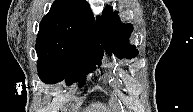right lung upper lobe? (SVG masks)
<instances>
[{"mask_svg":"<svg viewBox=\"0 0 193 112\" xmlns=\"http://www.w3.org/2000/svg\"><path fill=\"white\" fill-rule=\"evenodd\" d=\"M37 36L68 38L102 49L95 19L85 0H55L40 22Z\"/></svg>","mask_w":193,"mask_h":112,"instance_id":"1","label":"right lung upper lobe"}]
</instances>
